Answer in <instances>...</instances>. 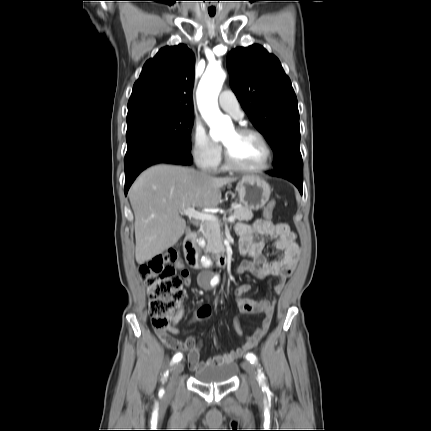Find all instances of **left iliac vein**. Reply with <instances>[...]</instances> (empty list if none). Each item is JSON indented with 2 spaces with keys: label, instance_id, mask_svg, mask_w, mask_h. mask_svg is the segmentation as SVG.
<instances>
[{
  "label": "left iliac vein",
  "instance_id": "obj_1",
  "mask_svg": "<svg viewBox=\"0 0 431 431\" xmlns=\"http://www.w3.org/2000/svg\"><path fill=\"white\" fill-rule=\"evenodd\" d=\"M242 367L248 375V379H249V382H250V385H251L253 391H258L259 390V384L257 381L256 371H255L253 364L249 360H246L242 363Z\"/></svg>",
  "mask_w": 431,
  "mask_h": 431
}]
</instances>
